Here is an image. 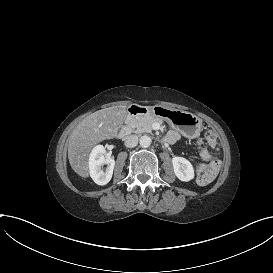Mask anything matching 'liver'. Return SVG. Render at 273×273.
<instances>
[{
	"mask_svg": "<svg viewBox=\"0 0 273 273\" xmlns=\"http://www.w3.org/2000/svg\"><path fill=\"white\" fill-rule=\"evenodd\" d=\"M127 115V106L116 105L88 115L75 127L68 143V160L78 176L89 178V157L93 148L105 140L116 138Z\"/></svg>",
	"mask_w": 273,
	"mask_h": 273,
	"instance_id": "1",
	"label": "liver"
}]
</instances>
